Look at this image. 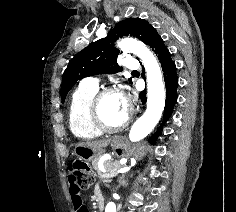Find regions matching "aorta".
I'll return each mask as SVG.
<instances>
[{"label": "aorta", "mask_w": 236, "mask_h": 212, "mask_svg": "<svg viewBox=\"0 0 236 212\" xmlns=\"http://www.w3.org/2000/svg\"><path fill=\"white\" fill-rule=\"evenodd\" d=\"M118 47L124 52L138 56L145 67L147 76V109L136 120L129 132L131 141H139L146 137L159 122L165 106V90L160 66L144 43L132 38H124L118 42ZM114 202L107 203L105 212H116Z\"/></svg>", "instance_id": "762f6f07"}]
</instances>
